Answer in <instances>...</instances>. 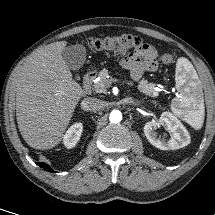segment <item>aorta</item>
<instances>
[{
    "label": "aorta",
    "instance_id": "aorta-1",
    "mask_svg": "<svg viewBox=\"0 0 215 215\" xmlns=\"http://www.w3.org/2000/svg\"><path fill=\"white\" fill-rule=\"evenodd\" d=\"M109 120L111 123H119L122 120V114L119 110H113L110 113Z\"/></svg>",
    "mask_w": 215,
    "mask_h": 215
}]
</instances>
